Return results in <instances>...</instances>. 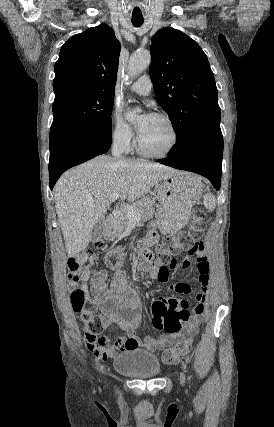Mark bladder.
<instances>
[{
	"label": "bladder",
	"instance_id": "bladder-1",
	"mask_svg": "<svg viewBox=\"0 0 274 427\" xmlns=\"http://www.w3.org/2000/svg\"><path fill=\"white\" fill-rule=\"evenodd\" d=\"M116 374L131 376L134 379H154L162 372L158 357L148 350L127 349L113 360Z\"/></svg>",
	"mask_w": 274,
	"mask_h": 427
}]
</instances>
